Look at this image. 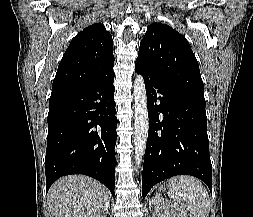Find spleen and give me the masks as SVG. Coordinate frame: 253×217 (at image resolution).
<instances>
[{
    "label": "spleen",
    "mask_w": 253,
    "mask_h": 217,
    "mask_svg": "<svg viewBox=\"0 0 253 217\" xmlns=\"http://www.w3.org/2000/svg\"><path fill=\"white\" fill-rule=\"evenodd\" d=\"M168 195L175 208L189 210L194 217H209V195L198 179L192 176L170 178Z\"/></svg>",
    "instance_id": "1"
}]
</instances>
